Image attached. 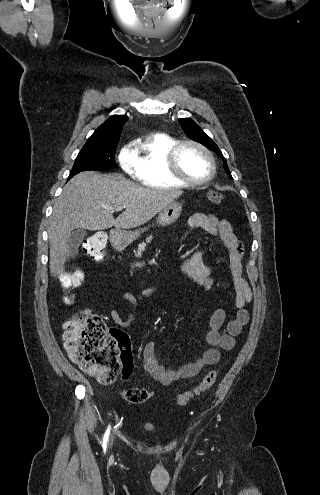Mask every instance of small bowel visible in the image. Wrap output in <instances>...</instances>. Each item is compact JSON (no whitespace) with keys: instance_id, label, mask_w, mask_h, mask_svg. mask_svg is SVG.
I'll return each instance as SVG.
<instances>
[{"instance_id":"1","label":"small bowel","mask_w":320,"mask_h":495,"mask_svg":"<svg viewBox=\"0 0 320 495\" xmlns=\"http://www.w3.org/2000/svg\"><path fill=\"white\" fill-rule=\"evenodd\" d=\"M187 227L189 229L200 228L206 231L211 237L220 240L227 249L228 268L235 293L236 313L231 320L226 322L225 310L217 308L210 317L209 328L205 336L208 349L195 361L187 363L179 369H166L159 363L153 341L144 345L143 366L145 371L153 380L165 386L181 379L194 377L203 367L217 363L223 351L233 349L236 344V337L247 324L248 314L245 307L252 300V291L243 274V245L233 233L230 223L212 213H195L189 217ZM181 271L204 289H211L213 285L211 268L204 263L200 251H195L189 258L182 261ZM155 289V287H148L138 294L124 293L122 298L130 305L128 318L124 320L116 309H112L109 312L111 319L118 326L127 327L141 300L153 294ZM131 370L132 364L129 367H123V377L128 378ZM149 392L152 396L153 392Z\"/></svg>"}]
</instances>
